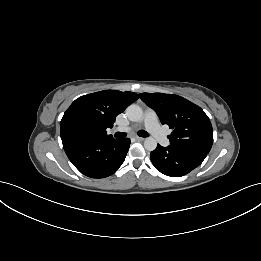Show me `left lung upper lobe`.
<instances>
[{"label": "left lung upper lobe", "instance_id": "5c2ea615", "mask_svg": "<svg viewBox=\"0 0 261 261\" xmlns=\"http://www.w3.org/2000/svg\"><path fill=\"white\" fill-rule=\"evenodd\" d=\"M140 97L157 113L161 123L173 130L168 136L170 145L209 153L212 125L199 106L175 94L141 93Z\"/></svg>", "mask_w": 261, "mask_h": 261}]
</instances>
